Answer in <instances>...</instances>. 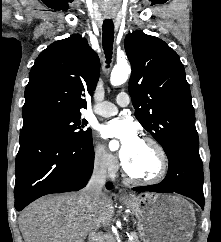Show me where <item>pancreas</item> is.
Segmentation results:
<instances>
[{
	"instance_id": "obj_1",
	"label": "pancreas",
	"mask_w": 221,
	"mask_h": 242,
	"mask_svg": "<svg viewBox=\"0 0 221 242\" xmlns=\"http://www.w3.org/2000/svg\"><path fill=\"white\" fill-rule=\"evenodd\" d=\"M133 239L131 241L128 242H140L138 235L136 233H131Z\"/></svg>"
}]
</instances>
